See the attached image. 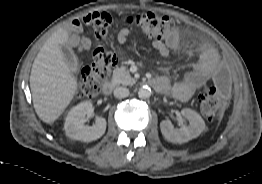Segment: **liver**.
<instances>
[{"mask_svg": "<svg viewBox=\"0 0 262 184\" xmlns=\"http://www.w3.org/2000/svg\"><path fill=\"white\" fill-rule=\"evenodd\" d=\"M69 40L68 31L59 28L41 47L31 69L30 88L38 117L53 123L72 101L77 80L65 62L61 45Z\"/></svg>", "mask_w": 262, "mask_h": 184, "instance_id": "1", "label": "liver"}]
</instances>
